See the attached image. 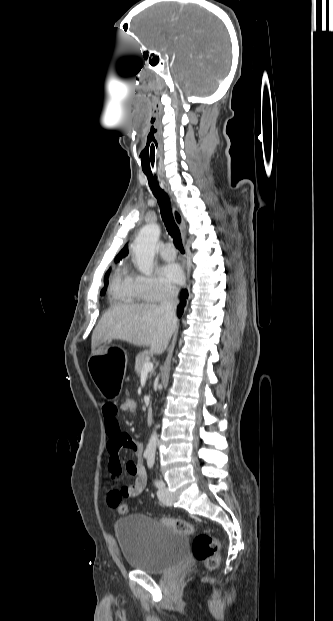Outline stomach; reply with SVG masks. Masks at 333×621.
Masks as SVG:
<instances>
[{
	"label": "stomach",
	"mask_w": 333,
	"mask_h": 621,
	"mask_svg": "<svg viewBox=\"0 0 333 621\" xmlns=\"http://www.w3.org/2000/svg\"><path fill=\"white\" fill-rule=\"evenodd\" d=\"M88 364L98 393L117 402L124 388V371L128 364L124 344L119 340L103 343L98 350L90 352Z\"/></svg>",
	"instance_id": "0dacf381"
}]
</instances>
